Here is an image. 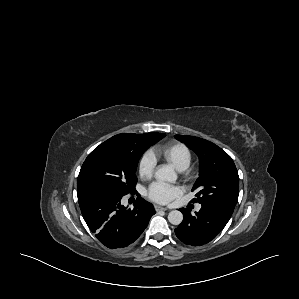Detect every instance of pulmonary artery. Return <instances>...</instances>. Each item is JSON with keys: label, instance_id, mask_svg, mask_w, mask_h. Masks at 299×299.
Instances as JSON below:
<instances>
[{"label": "pulmonary artery", "instance_id": "obj_1", "mask_svg": "<svg viewBox=\"0 0 299 299\" xmlns=\"http://www.w3.org/2000/svg\"><path fill=\"white\" fill-rule=\"evenodd\" d=\"M201 209V205L200 204H198L197 206H196V210H200Z\"/></svg>", "mask_w": 299, "mask_h": 299}]
</instances>
